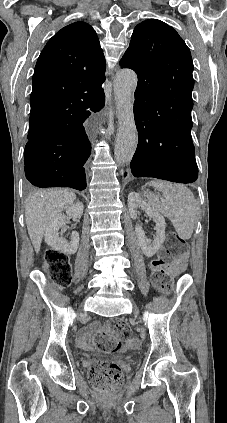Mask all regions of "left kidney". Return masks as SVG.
Instances as JSON below:
<instances>
[{
    "instance_id": "left-kidney-1",
    "label": "left kidney",
    "mask_w": 227,
    "mask_h": 423,
    "mask_svg": "<svg viewBox=\"0 0 227 423\" xmlns=\"http://www.w3.org/2000/svg\"><path fill=\"white\" fill-rule=\"evenodd\" d=\"M128 208L132 219H137V210L138 208H141V210H144L146 215H148V217H152L153 221L156 223V235L154 239H147L145 231L140 223H136L135 225L137 239L140 243V247L143 253H145L147 257H152V255L156 253L157 249L161 247L165 239V219L163 215L159 213V211L152 210V208H150V206H148V204H146V202H144V200H142V198H140L136 192H131V194H129Z\"/></svg>"
}]
</instances>
